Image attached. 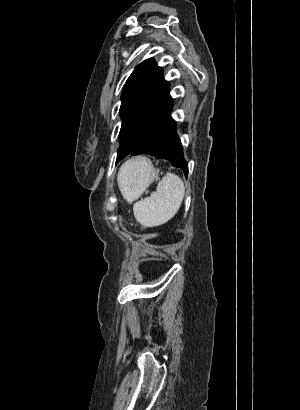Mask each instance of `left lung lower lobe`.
Returning a JSON list of instances; mask_svg holds the SVG:
<instances>
[{"mask_svg": "<svg viewBox=\"0 0 300 410\" xmlns=\"http://www.w3.org/2000/svg\"><path fill=\"white\" fill-rule=\"evenodd\" d=\"M148 154L160 159H166L172 166L182 169L188 174V164L183 157V148L176 134V122L170 114L151 134L148 140L136 149L132 155Z\"/></svg>", "mask_w": 300, "mask_h": 410, "instance_id": "0a47b994", "label": "left lung lower lobe"}]
</instances>
